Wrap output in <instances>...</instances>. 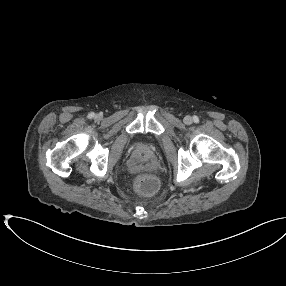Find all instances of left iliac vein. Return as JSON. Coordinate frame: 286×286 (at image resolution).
Instances as JSON below:
<instances>
[{"mask_svg":"<svg viewBox=\"0 0 286 286\" xmlns=\"http://www.w3.org/2000/svg\"><path fill=\"white\" fill-rule=\"evenodd\" d=\"M184 123L191 124L192 123V117L191 116H185L184 117Z\"/></svg>","mask_w":286,"mask_h":286,"instance_id":"left-iliac-vein-1","label":"left iliac vein"}]
</instances>
